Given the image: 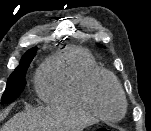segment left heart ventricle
<instances>
[{
	"mask_svg": "<svg viewBox=\"0 0 151 131\" xmlns=\"http://www.w3.org/2000/svg\"><path fill=\"white\" fill-rule=\"evenodd\" d=\"M98 104L101 110L110 117L120 114L122 103L115 88L109 82L101 84L98 92Z\"/></svg>",
	"mask_w": 151,
	"mask_h": 131,
	"instance_id": "left-heart-ventricle-1",
	"label": "left heart ventricle"
}]
</instances>
